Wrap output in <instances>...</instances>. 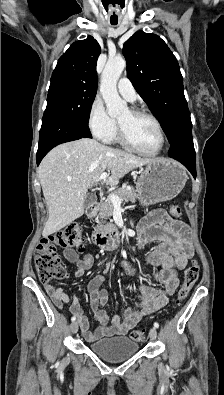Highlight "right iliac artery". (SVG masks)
<instances>
[{"label":"right iliac artery","mask_w":224,"mask_h":395,"mask_svg":"<svg viewBox=\"0 0 224 395\" xmlns=\"http://www.w3.org/2000/svg\"><path fill=\"white\" fill-rule=\"evenodd\" d=\"M75 320H76V317L73 316V317L71 318V321L73 322V321H75Z\"/></svg>","instance_id":"right-iliac-artery-1"}]
</instances>
